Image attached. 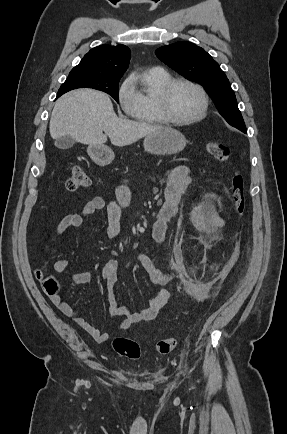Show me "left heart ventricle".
I'll use <instances>...</instances> for the list:
<instances>
[{
    "label": "left heart ventricle",
    "instance_id": "left-heart-ventricle-1",
    "mask_svg": "<svg viewBox=\"0 0 287 434\" xmlns=\"http://www.w3.org/2000/svg\"><path fill=\"white\" fill-rule=\"evenodd\" d=\"M170 114L177 119H188L195 116L201 108L199 93L188 85H177L168 98Z\"/></svg>",
    "mask_w": 287,
    "mask_h": 434
}]
</instances>
